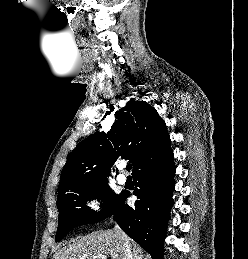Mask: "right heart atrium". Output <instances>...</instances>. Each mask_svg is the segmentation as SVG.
Listing matches in <instances>:
<instances>
[{"instance_id": "obj_1", "label": "right heart atrium", "mask_w": 248, "mask_h": 259, "mask_svg": "<svg viewBox=\"0 0 248 259\" xmlns=\"http://www.w3.org/2000/svg\"><path fill=\"white\" fill-rule=\"evenodd\" d=\"M88 207L95 213L101 210L102 201L98 197H93L87 202Z\"/></svg>"}]
</instances>
